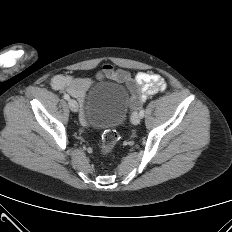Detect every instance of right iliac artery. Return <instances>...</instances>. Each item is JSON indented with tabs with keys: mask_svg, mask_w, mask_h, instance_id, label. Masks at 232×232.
<instances>
[{
	"mask_svg": "<svg viewBox=\"0 0 232 232\" xmlns=\"http://www.w3.org/2000/svg\"><path fill=\"white\" fill-rule=\"evenodd\" d=\"M64 99H66V100H69L70 99V96L68 95V94H64Z\"/></svg>",
	"mask_w": 232,
	"mask_h": 232,
	"instance_id": "right-iliac-artery-1",
	"label": "right iliac artery"
}]
</instances>
